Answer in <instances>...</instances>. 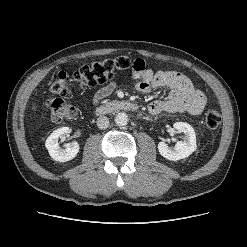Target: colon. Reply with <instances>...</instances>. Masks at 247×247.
<instances>
[{"mask_svg":"<svg viewBox=\"0 0 247 247\" xmlns=\"http://www.w3.org/2000/svg\"><path fill=\"white\" fill-rule=\"evenodd\" d=\"M139 66L140 63L127 56L103 59L92 62L76 70L72 75L68 71H60L51 84V92L56 95L49 97L46 108L50 118L55 122H63L73 118L77 108L67 101L75 88L86 89L104 84L123 71ZM221 123V114L217 109H210L205 115V125L209 129H216Z\"/></svg>","mask_w":247,"mask_h":247,"instance_id":"obj_1","label":"colon"}]
</instances>
